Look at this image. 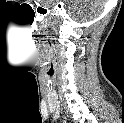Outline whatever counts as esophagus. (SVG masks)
I'll list each match as a JSON object with an SVG mask.
<instances>
[{"instance_id":"esophagus-1","label":"esophagus","mask_w":124,"mask_h":123,"mask_svg":"<svg viewBox=\"0 0 124 123\" xmlns=\"http://www.w3.org/2000/svg\"><path fill=\"white\" fill-rule=\"evenodd\" d=\"M64 123H67V120H64Z\"/></svg>"}]
</instances>
